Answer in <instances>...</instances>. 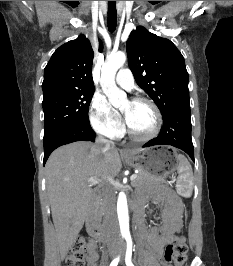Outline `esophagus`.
<instances>
[{
    "label": "esophagus",
    "instance_id": "1",
    "mask_svg": "<svg viewBox=\"0 0 233 266\" xmlns=\"http://www.w3.org/2000/svg\"><path fill=\"white\" fill-rule=\"evenodd\" d=\"M122 152L125 153V154L129 153V151L126 150V149L122 150Z\"/></svg>",
    "mask_w": 233,
    "mask_h": 266
}]
</instances>
